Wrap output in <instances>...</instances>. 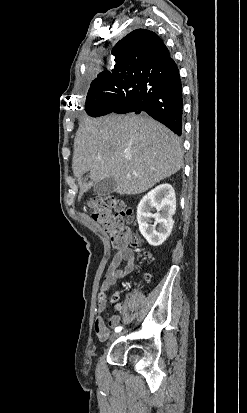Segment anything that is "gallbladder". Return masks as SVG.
<instances>
[{
    "mask_svg": "<svg viewBox=\"0 0 247 413\" xmlns=\"http://www.w3.org/2000/svg\"><path fill=\"white\" fill-rule=\"evenodd\" d=\"M116 186L117 182L114 176H107V178H103V180L96 182L94 192H96L98 196H108L110 192H115Z\"/></svg>",
    "mask_w": 247,
    "mask_h": 413,
    "instance_id": "1",
    "label": "gallbladder"
}]
</instances>
